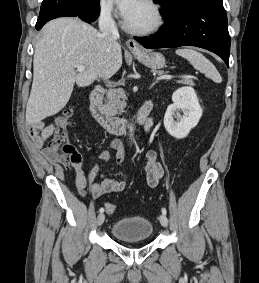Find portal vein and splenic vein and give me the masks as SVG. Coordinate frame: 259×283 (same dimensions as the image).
Instances as JSON below:
<instances>
[{"instance_id":"obj_1","label":"portal vein and splenic vein","mask_w":259,"mask_h":283,"mask_svg":"<svg viewBox=\"0 0 259 283\" xmlns=\"http://www.w3.org/2000/svg\"><path fill=\"white\" fill-rule=\"evenodd\" d=\"M74 67L79 72L85 70V67L83 65H74ZM172 77H173L172 75L165 74V75H161V76L157 77V80L172 79Z\"/></svg>"}]
</instances>
